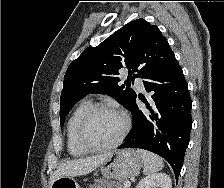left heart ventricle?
Returning a JSON list of instances; mask_svg holds the SVG:
<instances>
[{
    "mask_svg": "<svg viewBox=\"0 0 224 188\" xmlns=\"http://www.w3.org/2000/svg\"><path fill=\"white\" fill-rule=\"evenodd\" d=\"M123 129L122 117L111 111H101L93 116L86 130L90 142L103 145L113 142Z\"/></svg>",
    "mask_w": 224,
    "mask_h": 188,
    "instance_id": "b2bd125f",
    "label": "left heart ventricle"
}]
</instances>
